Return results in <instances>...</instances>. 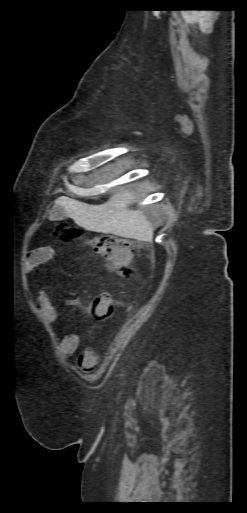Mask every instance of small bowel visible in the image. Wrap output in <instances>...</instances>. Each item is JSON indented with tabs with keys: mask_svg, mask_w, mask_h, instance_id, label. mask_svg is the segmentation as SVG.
Masks as SVG:
<instances>
[{
	"mask_svg": "<svg viewBox=\"0 0 247 513\" xmlns=\"http://www.w3.org/2000/svg\"><path fill=\"white\" fill-rule=\"evenodd\" d=\"M51 255L52 249L49 247L40 248L29 254L25 260V273L30 275L38 266L46 262L51 257ZM36 302L39 306L43 321L48 325H52L57 320L58 313L49 298L46 287H42L37 291ZM91 303L88 304L85 303L82 299L75 298L73 299L72 305L81 309L88 315L93 316L90 311ZM78 345V335L73 333L65 335L59 342L60 355L63 358L71 356L76 352ZM96 359V355L93 352L87 351L80 359V368L83 371L91 370L95 366Z\"/></svg>",
	"mask_w": 247,
	"mask_h": 513,
	"instance_id": "small-bowel-1",
	"label": "small bowel"
}]
</instances>
